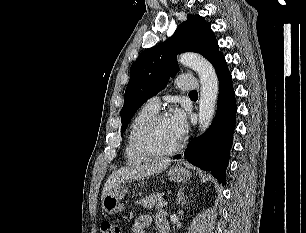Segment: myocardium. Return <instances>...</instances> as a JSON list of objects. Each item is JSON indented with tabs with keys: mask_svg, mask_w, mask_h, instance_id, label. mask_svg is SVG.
<instances>
[{
	"mask_svg": "<svg viewBox=\"0 0 306 233\" xmlns=\"http://www.w3.org/2000/svg\"><path fill=\"white\" fill-rule=\"evenodd\" d=\"M164 118H167L166 114L156 113L141 127L136 140L137 149L141 154L148 157H167L175 155L181 150V141L170 150H160L154 145L152 141L153 132L157 124Z\"/></svg>",
	"mask_w": 306,
	"mask_h": 233,
	"instance_id": "myocardium-1",
	"label": "myocardium"
}]
</instances>
